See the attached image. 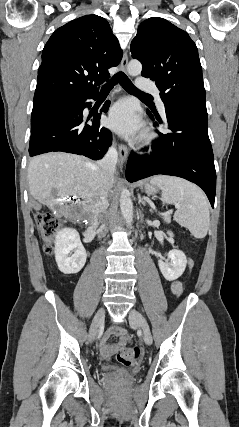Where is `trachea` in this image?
<instances>
[{
    "label": "trachea",
    "instance_id": "3493384b",
    "mask_svg": "<svg viewBox=\"0 0 239 427\" xmlns=\"http://www.w3.org/2000/svg\"><path fill=\"white\" fill-rule=\"evenodd\" d=\"M116 83H119L128 92H131L143 97H151V95L138 90L133 85L131 80L123 72H118L117 74H115L108 83L102 86L101 92L102 93L109 92Z\"/></svg>",
    "mask_w": 239,
    "mask_h": 427
}]
</instances>
